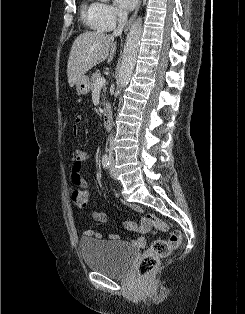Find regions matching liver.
<instances>
[{
    "mask_svg": "<svg viewBox=\"0 0 245 314\" xmlns=\"http://www.w3.org/2000/svg\"><path fill=\"white\" fill-rule=\"evenodd\" d=\"M110 52V53H109ZM116 53L114 36L101 31H87L73 42L67 65L70 87L88 70L108 58L113 60Z\"/></svg>",
    "mask_w": 245,
    "mask_h": 314,
    "instance_id": "obj_1",
    "label": "liver"
}]
</instances>
